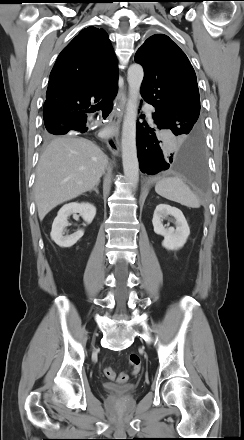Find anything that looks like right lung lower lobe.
Segmentation results:
<instances>
[{
	"label": "right lung lower lobe",
	"mask_w": 244,
	"mask_h": 440,
	"mask_svg": "<svg viewBox=\"0 0 244 440\" xmlns=\"http://www.w3.org/2000/svg\"><path fill=\"white\" fill-rule=\"evenodd\" d=\"M87 117L78 120H62L53 126L47 127L52 130H56L58 135H64L69 131H79L81 133L86 132Z\"/></svg>",
	"instance_id": "1"
}]
</instances>
